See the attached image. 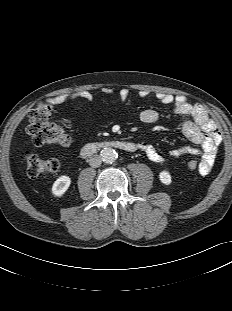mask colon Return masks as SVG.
<instances>
[{"label":"colon","mask_w":232,"mask_h":311,"mask_svg":"<svg viewBox=\"0 0 232 311\" xmlns=\"http://www.w3.org/2000/svg\"><path fill=\"white\" fill-rule=\"evenodd\" d=\"M51 107L47 104H38L29 114L27 132L35 146L50 144L65 145L69 142L68 134L62 127L49 121ZM24 161L29 177L35 178L41 174L54 172L60 166L57 158H43L37 154L26 152ZM189 169H196L198 162L191 159L187 163Z\"/></svg>","instance_id":"5ec220e1"}]
</instances>
